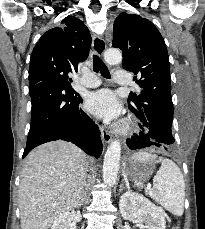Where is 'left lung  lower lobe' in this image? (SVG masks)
<instances>
[{
	"label": "left lung lower lobe",
	"mask_w": 205,
	"mask_h": 229,
	"mask_svg": "<svg viewBox=\"0 0 205 229\" xmlns=\"http://www.w3.org/2000/svg\"><path fill=\"white\" fill-rule=\"evenodd\" d=\"M139 127L141 128L140 133L134 134L132 139L127 140V145L132 150L152 145L165 147L164 144L166 145L173 139V136L166 130L167 127H160L151 123L144 124L141 121Z\"/></svg>",
	"instance_id": "0a47b994"
}]
</instances>
